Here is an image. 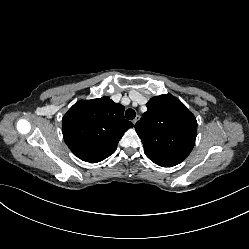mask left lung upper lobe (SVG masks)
Masks as SVG:
<instances>
[{
  "instance_id": "1",
  "label": "left lung upper lobe",
  "mask_w": 249,
  "mask_h": 249,
  "mask_svg": "<svg viewBox=\"0 0 249 249\" xmlns=\"http://www.w3.org/2000/svg\"><path fill=\"white\" fill-rule=\"evenodd\" d=\"M146 106L147 111L135 125L146 156L162 167L181 163L195 144V116L171 94L153 97Z\"/></svg>"
}]
</instances>
